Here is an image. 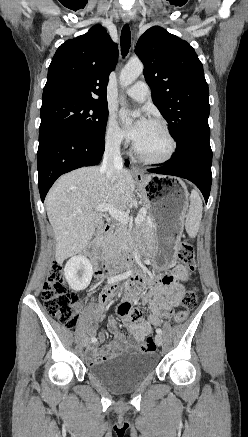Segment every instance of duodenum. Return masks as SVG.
I'll list each match as a JSON object with an SVG mask.
<instances>
[{
	"label": "duodenum",
	"instance_id": "1",
	"mask_svg": "<svg viewBox=\"0 0 248 437\" xmlns=\"http://www.w3.org/2000/svg\"><path fill=\"white\" fill-rule=\"evenodd\" d=\"M110 231H111V225L106 224L103 227L101 234L96 238V240L94 241V243L90 248V256L92 257L93 261L97 264L95 274L98 277L108 276L126 268L131 262L135 253V249L133 246H127L121 257L119 258L108 257L103 250V241Z\"/></svg>",
	"mask_w": 248,
	"mask_h": 437
}]
</instances>
